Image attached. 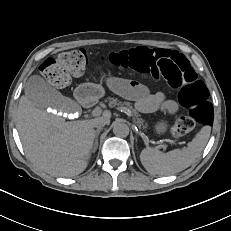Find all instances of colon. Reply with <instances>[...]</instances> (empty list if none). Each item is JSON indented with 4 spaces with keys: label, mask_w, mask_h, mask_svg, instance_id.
I'll return each instance as SVG.
<instances>
[{
    "label": "colon",
    "mask_w": 231,
    "mask_h": 231,
    "mask_svg": "<svg viewBox=\"0 0 231 231\" xmlns=\"http://www.w3.org/2000/svg\"><path fill=\"white\" fill-rule=\"evenodd\" d=\"M116 66L129 67L155 79H163L178 91L180 104L187 113L180 116L170 129L173 138H180L198 125H209L213 120V107L209 92L182 54L167 49L138 47L113 52L103 57ZM88 64L84 50L63 52L56 58L46 59L40 66L42 76L53 86H66L73 76L80 75Z\"/></svg>",
    "instance_id": "colon-1"
}]
</instances>
